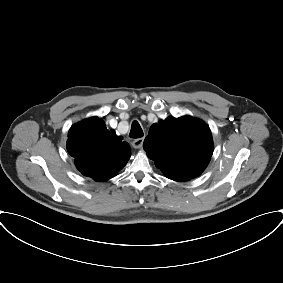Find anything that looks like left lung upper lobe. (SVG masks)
Listing matches in <instances>:
<instances>
[{
  "instance_id": "left-lung-upper-lobe-1",
  "label": "left lung upper lobe",
  "mask_w": 283,
  "mask_h": 283,
  "mask_svg": "<svg viewBox=\"0 0 283 283\" xmlns=\"http://www.w3.org/2000/svg\"><path fill=\"white\" fill-rule=\"evenodd\" d=\"M143 148L167 178L187 181L206 168L213 141L209 127L201 120L169 117L150 127Z\"/></svg>"
}]
</instances>
